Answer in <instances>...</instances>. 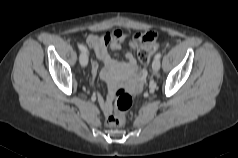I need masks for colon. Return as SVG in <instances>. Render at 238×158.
Returning a JSON list of instances; mask_svg holds the SVG:
<instances>
[{
    "instance_id": "colon-1",
    "label": "colon",
    "mask_w": 238,
    "mask_h": 158,
    "mask_svg": "<svg viewBox=\"0 0 238 158\" xmlns=\"http://www.w3.org/2000/svg\"><path fill=\"white\" fill-rule=\"evenodd\" d=\"M144 39L150 43L140 48L138 51V59L141 64L147 65L158 46L155 43V35H146L144 36ZM132 103V96L125 89H117L114 93L113 108L106 117L107 125L110 127H120L124 125L126 113L131 108Z\"/></svg>"
}]
</instances>
